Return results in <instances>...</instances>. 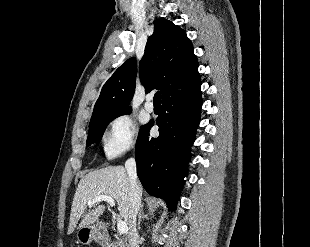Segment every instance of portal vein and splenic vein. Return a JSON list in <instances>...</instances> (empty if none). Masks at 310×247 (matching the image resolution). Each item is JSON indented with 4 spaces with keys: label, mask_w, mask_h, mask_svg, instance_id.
Instances as JSON below:
<instances>
[{
    "label": "portal vein and splenic vein",
    "mask_w": 310,
    "mask_h": 247,
    "mask_svg": "<svg viewBox=\"0 0 310 247\" xmlns=\"http://www.w3.org/2000/svg\"><path fill=\"white\" fill-rule=\"evenodd\" d=\"M101 201L107 202L111 207L115 206L114 199L111 196H108V195L97 196L92 201H89L88 205L92 206L95 203H98V202H101ZM117 229H118L120 234H126L128 232L127 224L125 222L121 221V220L117 222Z\"/></svg>",
    "instance_id": "portal-vein-and-splenic-vein-1"
}]
</instances>
